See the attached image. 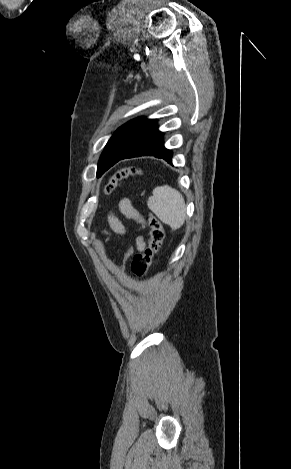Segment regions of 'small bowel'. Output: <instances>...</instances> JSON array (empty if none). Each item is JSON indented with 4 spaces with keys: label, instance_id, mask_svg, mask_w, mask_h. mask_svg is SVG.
Returning a JSON list of instances; mask_svg holds the SVG:
<instances>
[{
    "label": "small bowel",
    "instance_id": "obj_1",
    "mask_svg": "<svg viewBox=\"0 0 291 469\" xmlns=\"http://www.w3.org/2000/svg\"><path fill=\"white\" fill-rule=\"evenodd\" d=\"M119 210L120 213L127 219L136 221L140 224H142V218L138 211L132 206L129 200H122L119 205ZM109 226L111 232L118 234V235H123L126 232V229L122 223V221L117 217L116 215H110L109 216ZM105 234H108L107 231H104ZM145 248V242L143 237H137L135 241V249L138 252H142ZM133 249L130 248L128 249L125 254H124V262L127 261V259L132 255Z\"/></svg>",
    "mask_w": 291,
    "mask_h": 469
}]
</instances>
